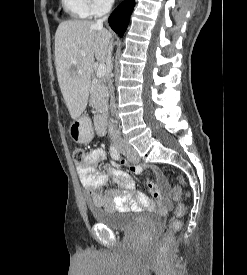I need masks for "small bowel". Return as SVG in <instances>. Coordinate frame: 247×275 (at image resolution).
Segmentation results:
<instances>
[{
	"label": "small bowel",
	"instance_id": "obj_1",
	"mask_svg": "<svg viewBox=\"0 0 247 275\" xmlns=\"http://www.w3.org/2000/svg\"><path fill=\"white\" fill-rule=\"evenodd\" d=\"M105 159V151L102 148L92 149L77 166V173L83 187L88 191L92 203L106 211L124 212L132 208L152 207V201L144 193L135 189V183L129 173L118 168L110 167L108 174L96 170V167ZM135 173H142L144 166L136 165L131 168ZM156 174L158 185L149 184L151 195L157 200L163 210H168L172 203L169 198V185L164 176L153 169ZM109 176L117 185V188L104 191L109 182Z\"/></svg>",
	"mask_w": 247,
	"mask_h": 275
}]
</instances>
